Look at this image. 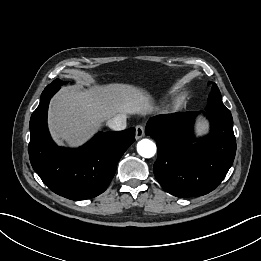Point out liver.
<instances>
[{
  "mask_svg": "<svg viewBox=\"0 0 261 261\" xmlns=\"http://www.w3.org/2000/svg\"><path fill=\"white\" fill-rule=\"evenodd\" d=\"M153 112L150 96L129 84H95L88 89L65 87L51 102L48 124L53 139L77 147L116 115Z\"/></svg>",
  "mask_w": 261,
  "mask_h": 261,
  "instance_id": "6515ba94",
  "label": "liver"
}]
</instances>
